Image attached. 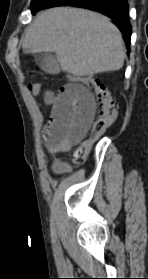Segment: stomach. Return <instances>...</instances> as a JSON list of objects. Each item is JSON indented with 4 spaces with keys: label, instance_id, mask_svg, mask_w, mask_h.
Masks as SVG:
<instances>
[{
    "label": "stomach",
    "instance_id": "obj_1",
    "mask_svg": "<svg viewBox=\"0 0 148 279\" xmlns=\"http://www.w3.org/2000/svg\"><path fill=\"white\" fill-rule=\"evenodd\" d=\"M30 69H39V64H30ZM33 75H42V70H33Z\"/></svg>",
    "mask_w": 148,
    "mask_h": 279
}]
</instances>
